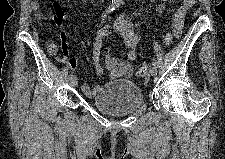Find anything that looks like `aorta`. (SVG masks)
<instances>
[{"mask_svg":"<svg viewBox=\"0 0 225 159\" xmlns=\"http://www.w3.org/2000/svg\"><path fill=\"white\" fill-rule=\"evenodd\" d=\"M120 3H121V0H112V6H115V7H117V6H119L120 5Z\"/></svg>","mask_w":225,"mask_h":159,"instance_id":"762f6f07","label":"aorta"}]
</instances>
